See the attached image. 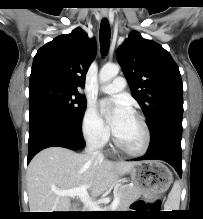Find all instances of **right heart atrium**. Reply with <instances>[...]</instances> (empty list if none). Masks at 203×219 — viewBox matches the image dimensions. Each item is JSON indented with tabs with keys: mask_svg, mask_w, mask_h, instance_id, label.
Segmentation results:
<instances>
[{
	"mask_svg": "<svg viewBox=\"0 0 203 219\" xmlns=\"http://www.w3.org/2000/svg\"><path fill=\"white\" fill-rule=\"evenodd\" d=\"M82 133L87 142L96 146H101L108 140V129L93 106H88L84 113Z\"/></svg>",
	"mask_w": 203,
	"mask_h": 219,
	"instance_id": "obj_1",
	"label": "right heart atrium"
}]
</instances>
